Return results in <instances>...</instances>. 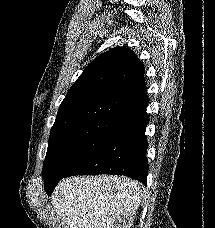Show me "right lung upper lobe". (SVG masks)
<instances>
[{
	"label": "right lung upper lobe",
	"mask_w": 215,
	"mask_h": 228,
	"mask_svg": "<svg viewBox=\"0 0 215 228\" xmlns=\"http://www.w3.org/2000/svg\"><path fill=\"white\" fill-rule=\"evenodd\" d=\"M144 66L125 47L92 61L62 101L51 133L98 118L132 124L147 117Z\"/></svg>",
	"instance_id": "cb5924a9"
}]
</instances>
